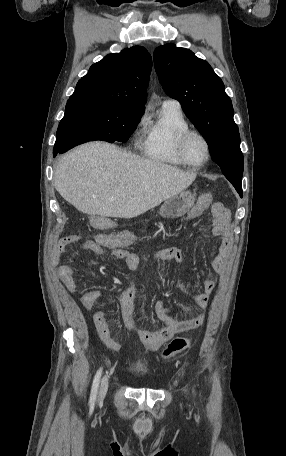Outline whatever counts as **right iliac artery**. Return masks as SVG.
Returning a JSON list of instances; mask_svg holds the SVG:
<instances>
[{
  "mask_svg": "<svg viewBox=\"0 0 286 456\" xmlns=\"http://www.w3.org/2000/svg\"><path fill=\"white\" fill-rule=\"evenodd\" d=\"M101 373H102V368H100L97 371V373H96V375L94 377L93 384H92V389H91V394H90V400H89L90 406H93L94 403H95V400H96V397H97L98 388H99Z\"/></svg>",
  "mask_w": 286,
  "mask_h": 456,
  "instance_id": "1",
  "label": "right iliac artery"
}]
</instances>
